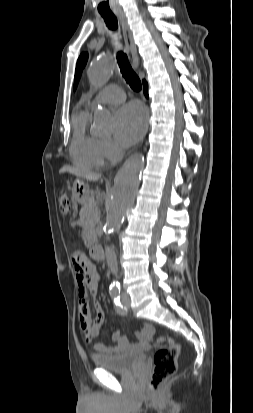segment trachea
Segmentation results:
<instances>
[{
  "instance_id": "1",
  "label": "trachea",
  "mask_w": 253,
  "mask_h": 413,
  "mask_svg": "<svg viewBox=\"0 0 253 413\" xmlns=\"http://www.w3.org/2000/svg\"><path fill=\"white\" fill-rule=\"evenodd\" d=\"M107 27L110 30H116L118 27L117 18L113 14H101ZM117 62L120 67L121 73L126 82L134 91H140L142 89L141 81L136 73L133 71L126 54L122 51L117 53Z\"/></svg>"
}]
</instances>
